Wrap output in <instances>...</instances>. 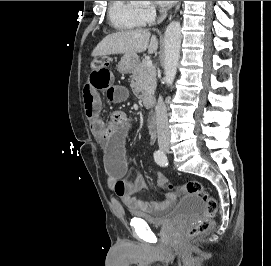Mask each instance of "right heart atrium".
Wrapping results in <instances>:
<instances>
[{
    "label": "right heart atrium",
    "instance_id": "right-heart-atrium-1",
    "mask_svg": "<svg viewBox=\"0 0 271 266\" xmlns=\"http://www.w3.org/2000/svg\"><path fill=\"white\" fill-rule=\"evenodd\" d=\"M142 20L145 23H151L157 14V9L153 5H147L140 9Z\"/></svg>",
    "mask_w": 271,
    "mask_h": 266
}]
</instances>
